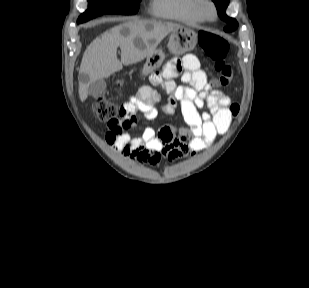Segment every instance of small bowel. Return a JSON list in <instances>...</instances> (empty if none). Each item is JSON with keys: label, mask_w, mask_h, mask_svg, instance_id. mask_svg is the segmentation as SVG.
Returning a JSON list of instances; mask_svg holds the SVG:
<instances>
[{"label": "small bowel", "mask_w": 309, "mask_h": 288, "mask_svg": "<svg viewBox=\"0 0 309 288\" xmlns=\"http://www.w3.org/2000/svg\"><path fill=\"white\" fill-rule=\"evenodd\" d=\"M179 75L182 85H176L174 81ZM151 82L152 85L140 87L125 107L132 113L140 112L147 120H155L160 113L174 115L180 106L188 127L179 128L177 134L169 127L146 128L140 136L134 137L126 132L132 126L109 122L106 142L124 156L150 166H157L162 156L174 162L183 155L193 156L209 148L217 136L228 131L232 120L231 100L212 88L195 55L173 59L161 75L152 77ZM156 87H162L168 94V100L160 110L156 104L161 94ZM204 106L208 113L200 115L197 109Z\"/></svg>", "instance_id": "c3829d8e"}]
</instances>
